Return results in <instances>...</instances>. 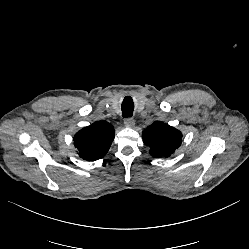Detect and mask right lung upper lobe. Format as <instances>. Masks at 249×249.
I'll return each instance as SVG.
<instances>
[{
  "instance_id": "obj_1",
  "label": "right lung upper lobe",
  "mask_w": 249,
  "mask_h": 249,
  "mask_svg": "<svg viewBox=\"0 0 249 249\" xmlns=\"http://www.w3.org/2000/svg\"><path fill=\"white\" fill-rule=\"evenodd\" d=\"M114 136L115 131L111 124L97 121L75 134L74 145L81 158L95 161L105 156Z\"/></svg>"
}]
</instances>
